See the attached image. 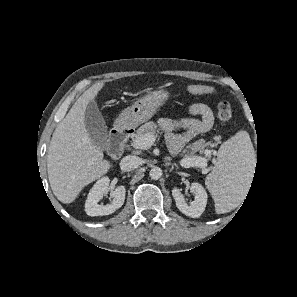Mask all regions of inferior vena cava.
Here are the masks:
<instances>
[{
	"label": "inferior vena cava",
	"instance_id": "1",
	"mask_svg": "<svg viewBox=\"0 0 297 297\" xmlns=\"http://www.w3.org/2000/svg\"><path fill=\"white\" fill-rule=\"evenodd\" d=\"M142 164V161L139 157L129 155L125 156L120 162V169L124 172L132 171L138 168Z\"/></svg>",
	"mask_w": 297,
	"mask_h": 297
}]
</instances>
